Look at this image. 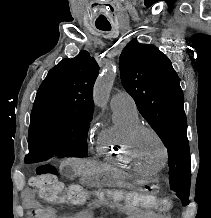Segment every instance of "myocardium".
<instances>
[{
    "label": "myocardium",
    "instance_id": "f54148a6",
    "mask_svg": "<svg viewBox=\"0 0 211 218\" xmlns=\"http://www.w3.org/2000/svg\"><path fill=\"white\" fill-rule=\"evenodd\" d=\"M142 132H149L151 133L158 141L160 147H161V151H162V161L160 163V165H164L166 163L167 160V149L165 146V143L162 139V137L160 136V134L151 126L149 125H145V124H138L137 126H135L129 135V145H130V149H131V157L135 158L137 160H140L137 154V146H138V139L139 136Z\"/></svg>",
    "mask_w": 211,
    "mask_h": 218
}]
</instances>
